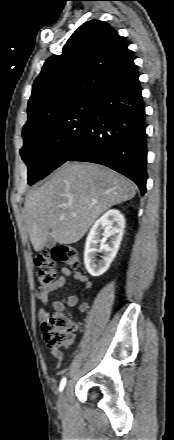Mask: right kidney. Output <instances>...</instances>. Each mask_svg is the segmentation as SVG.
Segmentation results:
<instances>
[{
    "label": "right kidney",
    "instance_id": "obj_1",
    "mask_svg": "<svg viewBox=\"0 0 174 440\" xmlns=\"http://www.w3.org/2000/svg\"><path fill=\"white\" fill-rule=\"evenodd\" d=\"M124 228L125 218L115 209L108 210L94 223L84 251V264L90 275L100 276L108 270L118 252ZM96 252H104L99 261L96 260Z\"/></svg>",
    "mask_w": 174,
    "mask_h": 440
}]
</instances>
